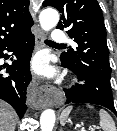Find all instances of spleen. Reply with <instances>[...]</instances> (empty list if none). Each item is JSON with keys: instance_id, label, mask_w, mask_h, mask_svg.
Wrapping results in <instances>:
<instances>
[{"instance_id": "3e777b00", "label": "spleen", "mask_w": 117, "mask_h": 131, "mask_svg": "<svg viewBox=\"0 0 117 131\" xmlns=\"http://www.w3.org/2000/svg\"><path fill=\"white\" fill-rule=\"evenodd\" d=\"M87 106L89 108H92V106H90V105H87ZM71 110H72V107L69 106L66 109H64L63 112L61 113L60 123L62 125L65 124ZM99 116H100V123L99 124H100V127L102 128L103 131H116L115 122L108 112L101 109L99 111Z\"/></svg>"}]
</instances>
